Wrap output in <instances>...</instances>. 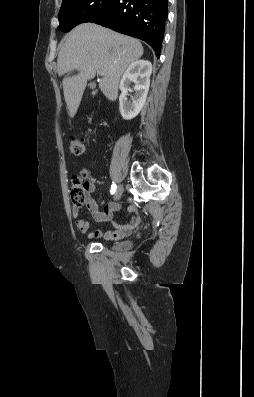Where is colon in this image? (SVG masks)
Segmentation results:
<instances>
[{
  "label": "colon",
  "mask_w": 254,
  "mask_h": 397,
  "mask_svg": "<svg viewBox=\"0 0 254 397\" xmlns=\"http://www.w3.org/2000/svg\"><path fill=\"white\" fill-rule=\"evenodd\" d=\"M69 149L73 155L80 156L84 153L85 146L83 141L79 137L72 136L69 140ZM87 178H88V173L86 171H83L80 176H76L73 179L71 198L76 206L87 205L89 202V197H88L89 182L87 181Z\"/></svg>",
  "instance_id": "5ec220e1"
}]
</instances>
